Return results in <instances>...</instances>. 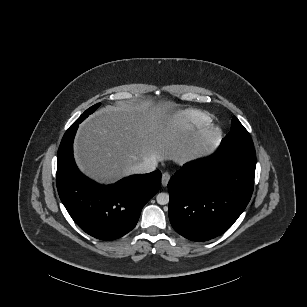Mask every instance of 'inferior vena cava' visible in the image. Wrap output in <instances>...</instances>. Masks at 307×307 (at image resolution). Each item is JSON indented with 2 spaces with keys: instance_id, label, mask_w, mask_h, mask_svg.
Wrapping results in <instances>:
<instances>
[{
  "instance_id": "obj_1",
  "label": "inferior vena cava",
  "mask_w": 307,
  "mask_h": 307,
  "mask_svg": "<svg viewBox=\"0 0 307 307\" xmlns=\"http://www.w3.org/2000/svg\"><path fill=\"white\" fill-rule=\"evenodd\" d=\"M157 161L155 158H147L144 160V162L132 166L131 172L134 174H143V173H149L156 169Z\"/></svg>"
}]
</instances>
